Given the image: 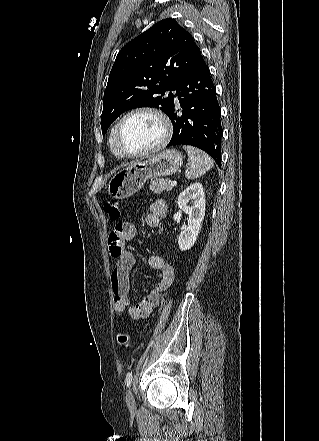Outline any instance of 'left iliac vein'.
Segmentation results:
<instances>
[{"instance_id": "4c4485c4", "label": "left iliac vein", "mask_w": 319, "mask_h": 441, "mask_svg": "<svg viewBox=\"0 0 319 441\" xmlns=\"http://www.w3.org/2000/svg\"><path fill=\"white\" fill-rule=\"evenodd\" d=\"M126 401H127V406L129 408L130 411H135L136 410V402L133 396V393L131 390H128L127 392V396H126Z\"/></svg>"}]
</instances>
